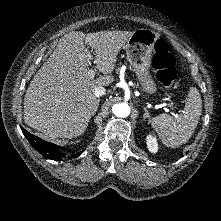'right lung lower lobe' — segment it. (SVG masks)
Masks as SVG:
<instances>
[{
	"label": "right lung lower lobe",
	"instance_id": "right-lung-lower-lobe-1",
	"mask_svg": "<svg viewBox=\"0 0 221 221\" xmlns=\"http://www.w3.org/2000/svg\"><path fill=\"white\" fill-rule=\"evenodd\" d=\"M22 131H23L24 136L30 142V144L45 158L51 159V160L57 159L61 161L65 157V155L60 152V147L58 145L46 142L40 139L39 137L32 135L31 133H29L23 128H22ZM82 152L76 155V157L82 154Z\"/></svg>",
	"mask_w": 221,
	"mask_h": 221
}]
</instances>
